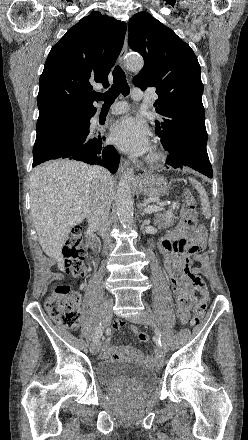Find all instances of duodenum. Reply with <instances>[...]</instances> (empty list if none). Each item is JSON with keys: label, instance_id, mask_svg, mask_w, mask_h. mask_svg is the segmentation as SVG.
<instances>
[{"label": "duodenum", "instance_id": "obj_1", "mask_svg": "<svg viewBox=\"0 0 248 440\" xmlns=\"http://www.w3.org/2000/svg\"><path fill=\"white\" fill-rule=\"evenodd\" d=\"M87 242H88V246L93 250L96 251V244H95V240L93 238V235L88 232L87 233Z\"/></svg>", "mask_w": 248, "mask_h": 440}]
</instances>
